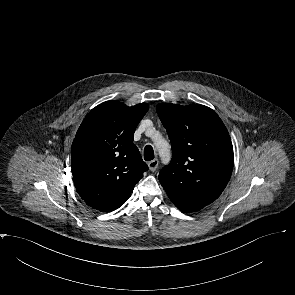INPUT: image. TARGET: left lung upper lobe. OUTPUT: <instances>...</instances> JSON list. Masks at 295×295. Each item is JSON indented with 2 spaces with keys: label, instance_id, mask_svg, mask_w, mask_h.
Returning a JSON list of instances; mask_svg holds the SVG:
<instances>
[{
  "label": "left lung upper lobe",
  "instance_id": "left-lung-upper-lobe-1",
  "mask_svg": "<svg viewBox=\"0 0 295 295\" xmlns=\"http://www.w3.org/2000/svg\"><path fill=\"white\" fill-rule=\"evenodd\" d=\"M156 111L173 152L159 173L160 183L178 209L198 211L215 201L230 179L234 155L228 131L204 105L160 103Z\"/></svg>",
  "mask_w": 295,
  "mask_h": 295
}]
</instances>
